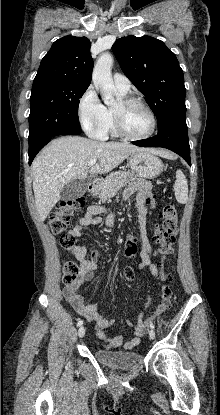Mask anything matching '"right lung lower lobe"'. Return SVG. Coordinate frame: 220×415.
I'll list each match as a JSON object with an SVG mask.
<instances>
[{"mask_svg":"<svg viewBox=\"0 0 220 415\" xmlns=\"http://www.w3.org/2000/svg\"><path fill=\"white\" fill-rule=\"evenodd\" d=\"M81 133V129L76 131L75 134H79ZM50 141V139L46 140L45 142H43L41 145H39L37 148H35L32 151H29V165H31L34 157L36 156V154Z\"/></svg>","mask_w":220,"mask_h":415,"instance_id":"obj_1","label":"right lung lower lobe"}]
</instances>
